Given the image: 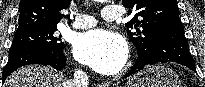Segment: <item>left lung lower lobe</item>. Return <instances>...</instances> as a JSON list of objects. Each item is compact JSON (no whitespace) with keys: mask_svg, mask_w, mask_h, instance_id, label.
I'll list each match as a JSON object with an SVG mask.
<instances>
[{"mask_svg":"<svg viewBox=\"0 0 205 87\" xmlns=\"http://www.w3.org/2000/svg\"><path fill=\"white\" fill-rule=\"evenodd\" d=\"M166 62H176L196 71L183 26L172 27L162 32L147 53L138 55L134 66L125 77L142 70L146 65Z\"/></svg>","mask_w":205,"mask_h":87,"instance_id":"0a47b994","label":"left lung lower lobe"}]
</instances>
